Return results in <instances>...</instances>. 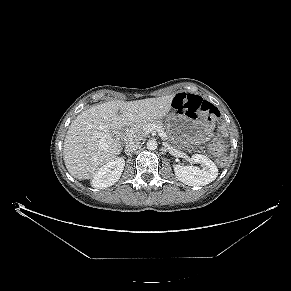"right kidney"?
Returning a JSON list of instances; mask_svg holds the SVG:
<instances>
[{"mask_svg": "<svg viewBox=\"0 0 291 291\" xmlns=\"http://www.w3.org/2000/svg\"><path fill=\"white\" fill-rule=\"evenodd\" d=\"M124 166L125 160L122 157L109 160L94 174L92 186L104 189L114 185L120 179Z\"/></svg>", "mask_w": 291, "mask_h": 291, "instance_id": "obj_1", "label": "right kidney"}]
</instances>
